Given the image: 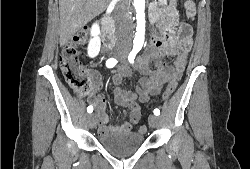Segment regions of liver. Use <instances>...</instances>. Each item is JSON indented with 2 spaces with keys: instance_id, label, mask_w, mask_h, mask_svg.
<instances>
[{
  "instance_id": "6515ba94",
  "label": "liver",
  "mask_w": 250,
  "mask_h": 169,
  "mask_svg": "<svg viewBox=\"0 0 250 169\" xmlns=\"http://www.w3.org/2000/svg\"><path fill=\"white\" fill-rule=\"evenodd\" d=\"M109 2L110 0H59L60 42H68L79 28L103 12Z\"/></svg>"
}]
</instances>
